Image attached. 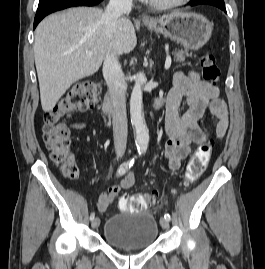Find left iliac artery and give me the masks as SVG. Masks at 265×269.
I'll use <instances>...</instances> for the list:
<instances>
[{"mask_svg":"<svg viewBox=\"0 0 265 269\" xmlns=\"http://www.w3.org/2000/svg\"><path fill=\"white\" fill-rule=\"evenodd\" d=\"M164 218H165L167 221H170V220H171V216H170L168 213H166V214L164 215Z\"/></svg>","mask_w":265,"mask_h":269,"instance_id":"44dca946","label":"left iliac artery"}]
</instances>
